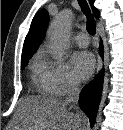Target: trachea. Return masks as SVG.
<instances>
[{"label": "trachea", "mask_w": 123, "mask_h": 130, "mask_svg": "<svg viewBox=\"0 0 123 130\" xmlns=\"http://www.w3.org/2000/svg\"><path fill=\"white\" fill-rule=\"evenodd\" d=\"M78 2H79V5L81 6L83 13L87 17V23H86L87 32L90 35H95V33H96L95 21H94L93 17L91 16L90 8L87 4V1L78 0Z\"/></svg>", "instance_id": "3493384b"}]
</instances>
